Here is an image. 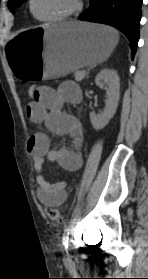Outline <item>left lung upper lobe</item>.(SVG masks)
Returning <instances> with one entry per match:
<instances>
[{
	"mask_svg": "<svg viewBox=\"0 0 148 279\" xmlns=\"http://www.w3.org/2000/svg\"><path fill=\"white\" fill-rule=\"evenodd\" d=\"M24 1L26 0H9L8 7L10 8L11 12H14V10L20 6Z\"/></svg>",
	"mask_w": 148,
	"mask_h": 279,
	"instance_id": "5c2ea615",
	"label": "left lung upper lobe"
}]
</instances>
